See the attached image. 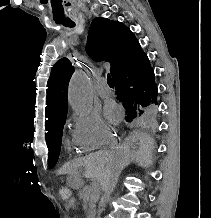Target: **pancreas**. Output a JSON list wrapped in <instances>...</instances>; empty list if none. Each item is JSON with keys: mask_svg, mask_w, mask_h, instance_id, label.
<instances>
[{"mask_svg": "<svg viewBox=\"0 0 211 218\" xmlns=\"http://www.w3.org/2000/svg\"><path fill=\"white\" fill-rule=\"evenodd\" d=\"M84 189L81 190V200H86V205H97L98 201L95 199L100 196V193L95 190V186H85Z\"/></svg>", "mask_w": 211, "mask_h": 218, "instance_id": "pancreas-1", "label": "pancreas"}]
</instances>
